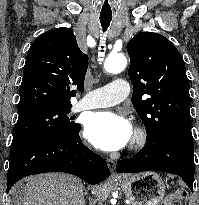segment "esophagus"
<instances>
[{
    "label": "esophagus",
    "instance_id": "1",
    "mask_svg": "<svg viewBox=\"0 0 199 205\" xmlns=\"http://www.w3.org/2000/svg\"><path fill=\"white\" fill-rule=\"evenodd\" d=\"M106 162H107V165H108V167H109V169L111 171V174L114 175L115 174L114 173V170H115V162H114V160L107 159Z\"/></svg>",
    "mask_w": 199,
    "mask_h": 205
}]
</instances>
